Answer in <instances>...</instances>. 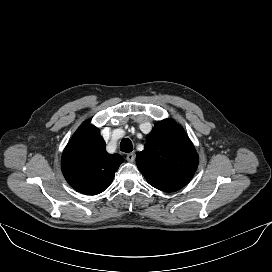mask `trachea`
Wrapping results in <instances>:
<instances>
[{
    "label": "trachea",
    "instance_id": "1",
    "mask_svg": "<svg viewBox=\"0 0 272 272\" xmlns=\"http://www.w3.org/2000/svg\"><path fill=\"white\" fill-rule=\"evenodd\" d=\"M120 149L122 152H126V153L131 152L133 147H132V142L130 141V139L128 138L123 139L120 145Z\"/></svg>",
    "mask_w": 272,
    "mask_h": 272
}]
</instances>
